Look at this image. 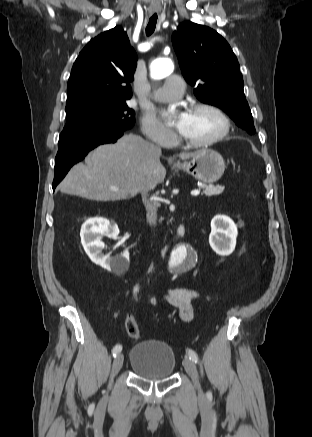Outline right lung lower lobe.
Instances as JSON below:
<instances>
[{
    "label": "right lung lower lobe",
    "mask_w": 312,
    "mask_h": 437,
    "mask_svg": "<svg viewBox=\"0 0 312 437\" xmlns=\"http://www.w3.org/2000/svg\"><path fill=\"white\" fill-rule=\"evenodd\" d=\"M124 132L114 133L101 137H96L65 149H59L55 158V176L53 180V190L58 183L65 177L69 169L87 155V153L100 144L114 143Z\"/></svg>",
    "instance_id": "obj_1"
}]
</instances>
